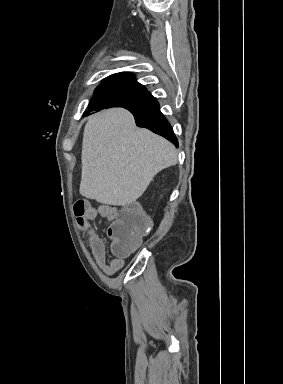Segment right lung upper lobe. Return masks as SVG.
Here are the masks:
<instances>
[{"label": "right lung upper lobe", "mask_w": 283, "mask_h": 384, "mask_svg": "<svg viewBox=\"0 0 283 384\" xmlns=\"http://www.w3.org/2000/svg\"><path fill=\"white\" fill-rule=\"evenodd\" d=\"M100 86H116L145 90L144 86L136 81L135 76L128 72L113 74L105 78Z\"/></svg>", "instance_id": "cb5924a9"}]
</instances>
